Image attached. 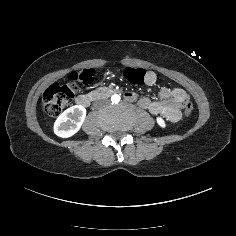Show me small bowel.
I'll return each instance as SVG.
<instances>
[{"mask_svg": "<svg viewBox=\"0 0 236 236\" xmlns=\"http://www.w3.org/2000/svg\"><path fill=\"white\" fill-rule=\"evenodd\" d=\"M152 76L153 75H150V77L147 78V80H146V83L148 85H152L154 83V80L152 79ZM165 93L167 94L168 92L165 91ZM172 94H174L179 99L180 105H182L183 100L186 97L185 91L182 90V89H174Z\"/></svg>", "mask_w": 236, "mask_h": 236, "instance_id": "1", "label": "small bowel"}]
</instances>
